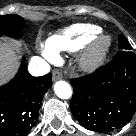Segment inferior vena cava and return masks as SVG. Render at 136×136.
<instances>
[{
	"label": "inferior vena cava",
	"instance_id": "602c4592",
	"mask_svg": "<svg viewBox=\"0 0 136 136\" xmlns=\"http://www.w3.org/2000/svg\"><path fill=\"white\" fill-rule=\"evenodd\" d=\"M28 70L33 76H43L49 72L50 67L42 58L35 56L31 59Z\"/></svg>",
	"mask_w": 136,
	"mask_h": 136
}]
</instances>
